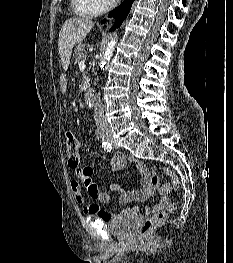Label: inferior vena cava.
I'll return each instance as SVG.
<instances>
[{
  "label": "inferior vena cava",
  "mask_w": 233,
  "mask_h": 263,
  "mask_svg": "<svg viewBox=\"0 0 233 263\" xmlns=\"http://www.w3.org/2000/svg\"><path fill=\"white\" fill-rule=\"evenodd\" d=\"M95 118L101 129L110 130V125L107 121V118L104 116V107L100 101L96 104Z\"/></svg>",
  "instance_id": "602c4592"
}]
</instances>
